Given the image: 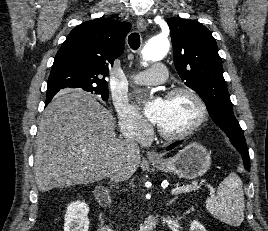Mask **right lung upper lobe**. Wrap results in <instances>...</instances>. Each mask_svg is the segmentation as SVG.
<instances>
[{
	"label": "right lung upper lobe",
	"instance_id": "obj_1",
	"mask_svg": "<svg viewBox=\"0 0 268 231\" xmlns=\"http://www.w3.org/2000/svg\"><path fill=\"white\" fill-rule=\"evenodd\" d=\"M130 27L128 22L103 17L75 27L55 56L48 89L108 88L105 77L114 60L123 53ZM56 93H47L45 104Z\"/></svg>",
	"mask_w": 268,
	"mask_h": 231
}]
</instances>
